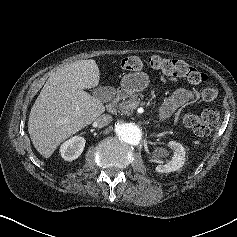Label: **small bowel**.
<instances>
[{"instance_id":"obj_1","label":"small bowel","mask_w":237,"mask_h":237,"mask_svg":"<svg viewBox=\"0 0 237 237\" xmlns=\"http://www.w3.org/2000/svg\"><path fill=\"white\" fill-rule=\"evenodd\" d=\"M197 101L194 91L187 88H179L168 97L161 107L159 117L161 120L169 118L176 110L193 105Z\"/></svg>"}]
</instances>
